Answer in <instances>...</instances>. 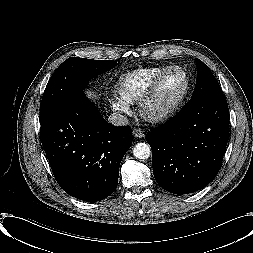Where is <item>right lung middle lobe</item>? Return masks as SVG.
I'll return each mask as SVG.
<instances>
[{
    "label": "right lung middle lobe",
    "mask_w": 253,
    "mask_h": 253,
    "mask_svg": "<svg viewBox=\"0 0 253 253\" xmlns=\"http://www.w3.org/2000/svg\"><path fill=\"white\" fill-rule=\"evenodd\" d=\"M114 60H92L71 57L65 60L51 76L40 104V121L49 116L66 98L81 92L87 82L112 69Z\"/></svg>",
    "instance_id": "right-lung-middle-lobe-1"
}]
</instances>
